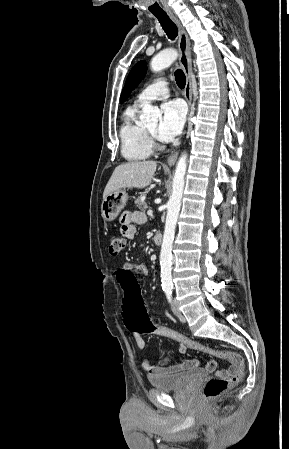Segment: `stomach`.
<instances>
[{
    "mask_svg": "<svg viewBox=\"0 0 289 449\" xmlns=\"http://www.w3.org/2000/svg\"><path fill=\"white\" fill-rule=\"evenodd\" d=\"M128 194L125 189L111 192L103 199L101 205V215L105 221H113L128 201Z\"/></svg>",
    "mask_w": 289,
    "mask_h": 449,
    "instance_id": "0dacf381",
    "label": "stomach"
}]
</instances>
